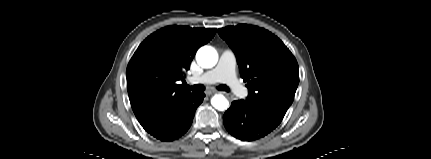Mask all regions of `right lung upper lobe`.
Segmentation results:
<instances>
[{
    "label": "right lung upper lobe",
    "mask_w": 431,
    "mask_h": 159,
    "mask_svg": "<svg viewBox=\"0 0 431 159\" xmlns=\"http://www.w3.org/2000/svg\"><path fill=\"white\" fill-rule=\"evenodd\" d=\"M216 29L168 26L148 36L137 48L126 70L132 109L145 130L152 128L191 95L179 81L196 51Z\"/></svg>",
    "instance_id": "cb5924a9"
}]
</instances>
